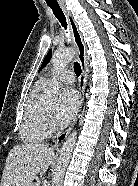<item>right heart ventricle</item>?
<instances>
[{"instance_id": "e07e8e85", "label": "right heart ventricle", "mask_w": 138, "mask_h": 186, "mask_svg": "<svg viewBox=\"0 0 138 186\" xmlns=\"http://www.w3.org/2000/svg\"><path fill=\"white\" fill-rule=\"evenodd\" d=\"M45 86L44 82L38 83L27 101L20 127V137L24 142L43 141L50 135L49 126L46 121L48 110L42 100V92Z\"/></svg>"}]
</instances>
